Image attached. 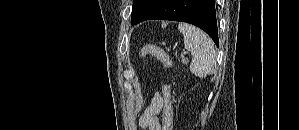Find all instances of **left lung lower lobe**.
<instances>
[{"label": "left lung lower lobe", "mask_w": 299, "mask_h": 130, "mask_svg": "<svg viewBox=\"0 0 299 130\" xmlns=\"http://www.w3.org/2000/svg\"><path fill=\"white\" fill-rule=\"evenodd\" d=\"M150 19L193 24L204 30L219 45L214 0H149V10L139 22Z\"/></svg>", "instance_id": "0a47b994"}]
</instances>
